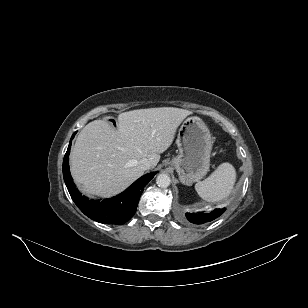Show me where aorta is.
<instances>
[{"mask_svg":"<svg viewBox=\"0 0 308 308\" xmlns=\"http://www.w3.org/2000/svg\"><path fill=\"white\" fill-rule=\"evenodd\" d=\"M171 183L169 175L161 173L156 178V184L161 188H167Z\"/></svg>","mask_w":308,"mask_h":308,"instance_id":"762f6f07","label":"aorta"}]
</instances>
